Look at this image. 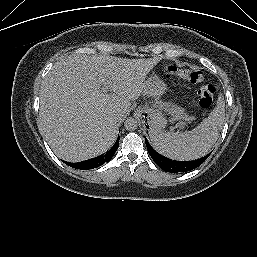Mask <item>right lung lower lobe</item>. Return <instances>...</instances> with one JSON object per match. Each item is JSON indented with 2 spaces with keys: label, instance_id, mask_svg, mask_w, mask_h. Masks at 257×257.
Wrapping results in <instances>:
<instances>
[{
  "label": "right lung lower lobe",
  "instance_id": "98d812e1",
  "mask_svg": "<svg viewBox=\"0 0 257 257\" xmlns=\"http://www.w3.org/2000/svg\"><path fill=\"white\" fill-rule=\"evenodd\" d=\"M119 139H120V137H118V139L116 140L113 147L105 155H102L98 158L87 160L84 162H79V163H69V162H65V161H63V162L73 168L81 169V170H88V169H93V168L99 167V166L103 165L105 162L110 161V159L114 156V154L119 146Z\"/></svg>",
  "mask_w": 257,
  "mask_h": 257
}]
</instances>
